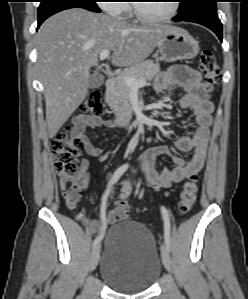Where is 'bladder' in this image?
<instances>
[{"label": "bladder", "instance_id": "obj_1", "mask_svg": "<svg viewBox=\"0 0 248 299\" xmlns=\"http://www.w3.org/2000/svg\"><path fill=\"white\" fill-rule=\"evenodd\" d=\"M161 269L154 237L143 225L124 220L109 229L100 275L110 288L125 294L147 291L158 280Z\"/></svg>", "mask_w": 248, "mask_h": 299}]
</instances>
